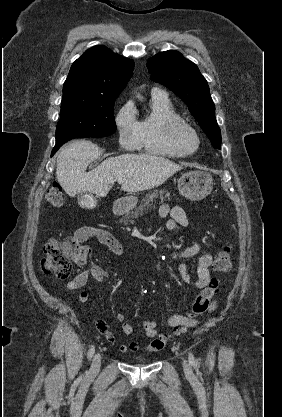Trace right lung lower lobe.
I'll return each mask as SVG.
<instances>
[{
	"mask_svg": "<svg viewBox=\"0 0 282 417\" xmlns=\"http://www.w3.org/2000/svg\"><path fill=\"white\" fill-rule=\"evenodd\" d=\"M71 139H73V138H67V139H64V140H61V141H57L56 142V145H55V147H54V149H53V151H52V156L54 155V153L65 143V142H67V141H69V140H71Z\"/></svg>",
	"mask_w": 282,
	"mask_h": 417,
	"instance_id": "obj_1",
	"label": "right lung lower lobe"
}]
</instances>
